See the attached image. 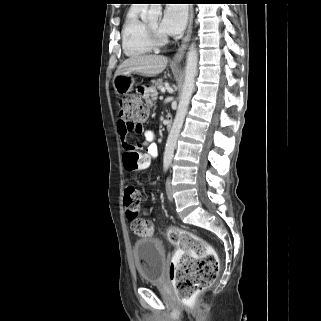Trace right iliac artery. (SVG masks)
Returning <instances> with one entry per match:
<instances>
[{"label": "right iliac artery", "mask_w": 321, "mask_h": 321, "mask_svg": "<svg viewBox=\"0 0 321 321\" xmlns=\"http://www.w3.org/2000/svg\"><path fill=\"white\" fill-rule=\"evenodd\" d=\"M169 164H164V170L166 171L168 169Z\"/></svg>", "instance_id": "right-iliac-artery-1"}]
</instances>
